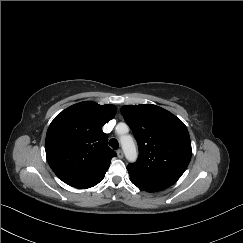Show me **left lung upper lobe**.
Listing matches in <instances>:
<instances>
[{
    "mask_svg": "<svg viewBox=\"0 0 243 243\" xmlns=\"http://www.w3.org/2000/svg\"><path fill=\"white\" fill-rule=\"evenodd\" d=\"M121 113L139 147L137 161L127 166L130 178L150 180L181 176L192 155L184 123L169 111L152 104L123 106Z\"/></svg>",
    "mask_w": 243,
    "mask_h": 243,
    "instance_id": "left-lung-upper-lobe-1",
    "label": "left lung upper lobe"
}]
</instances>
